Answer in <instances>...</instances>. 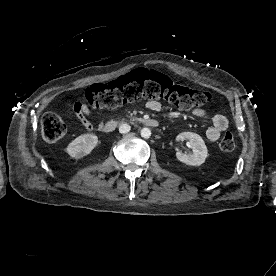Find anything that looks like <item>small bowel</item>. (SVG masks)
Returning a JSON list of instances; mask_svg holds the SVG:
<instances>
[{
  "label": "small bowel",
  "instance_id": "1",
  "mask_svg": "<svg viewBox=\"0 0 276 276\" xmlns=\"http://www.w3.org/2000/svg\"><path fill=\"white\" fill-rule=\"evenodd\" d=\"M147 108L152 111H159L161 109V103L155 100L148 101ZM68 113L76 123L86 129L92 131L94 125L90 121L91 110L88 105L83 101H74L68 103ZM191 114L197 118H206L207 112L204 109L196 108L191 111ZM229 126L228 118L223 114H216L212 117L211 126L206 131V136L210 141H216L220 137L221 133L225 131Z\"/></svg>",
  "mask_w": 276,
  "mask_h": 276
}]
</instances>
